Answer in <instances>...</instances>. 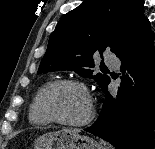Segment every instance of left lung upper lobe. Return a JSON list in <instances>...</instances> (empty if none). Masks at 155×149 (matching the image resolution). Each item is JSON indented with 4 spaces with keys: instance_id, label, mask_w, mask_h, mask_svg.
<instances>
[{
    "instance_id": "obj_1",
    "label": "left lung upper lobe",
    "mask_w": 155,
    "mask_h": 149,
    "mask_svg": "<svg viewBox=\"0 0 155 149\" xmlns=\"http://www.w3.org/2000/svg\"><path fill=\"white\" fill-rule=\"evenodd\" d=\"M142 0H85L65 14L51 33L38 74L73 70L103 87L109 76L93 74V55L116 52L147 19Z\"/></svg>"
}]
</instances>
